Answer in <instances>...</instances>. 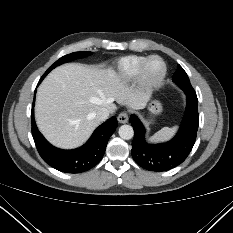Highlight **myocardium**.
I'll list each match as a JSON object with an SVG mask.
<instances>
[{"mask_svg": "<svg viewBox=\"0 0 233 233\" xmlns=\"http://www.w3.org/2000/svg\"><path fill=\"white\" fill-rule=\"evenodd\" d=\"M153 59H157L162 63V71L157 77H150L148 75V65L150 61ZM166 74H167V66L165 61L158 55H151L145 59L139 70L138 82L143 89L150 90L152 88L159 86L165 79Z\"/></svg>", "mask_w": 233, "mask_h": 233, "instance_id": "1", "label": "myocardium"}]
</instances>
